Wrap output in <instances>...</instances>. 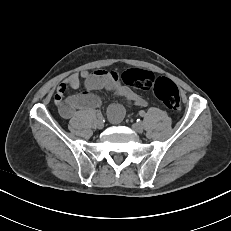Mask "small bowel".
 <instances>
[{"label": "small bowel", "instance_id": "1", "mask_svg": "<svg viewBox=\"0 0 231 231\" xmlns=\"http://www.w3.org/2000/svg\"><path fill=\"white\" fill-rule=\"evenodd\" d=\"M81 84L84 86L82 93L65 96L67 90L77 89ZM102 89L121 98L128 106L144 107L147 105V101L143 97L122 83L119 73L107 70H96L94 72L84 70L80 73L71 74L58 86L54 103L64 119H71L78 110L90 111L99 107L100 98L96 92ZM123 115L124 111L117 106H112L108 110V117L113 123H118Z\"/></svg>", "mask_w": 231, "mask_h": 231}]
</instances>
